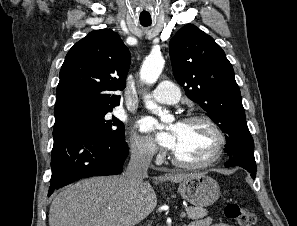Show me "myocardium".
<instances>
[{"label": "myocardium", "mask_w": 297, "mask_h": 226, "mask_svg": "<svg viewBox=\"0 0 297 226\" xmlns=\"http://www.w3.org/2000/svg\"><path fill=\"white\" fill-rule=\"evenodd\" d=\"M190 122H203L207 124L212 131L215 133L216 138H217V143L216 146L210 155L209 158L202 162H185L180 160L175 153L172 151L170 153V159L171 162L176 165L177 167L184 168V169H205L213 164H215L221 157L225 145H226V137L223 132V130L220 128V126L214 121L211 117L204 115V114H192L185 116L182 120L181 123H190Z\"/></svg>", "instance_id": "myocardium-1"}]
</instances>
